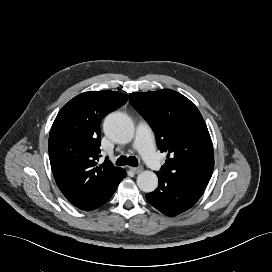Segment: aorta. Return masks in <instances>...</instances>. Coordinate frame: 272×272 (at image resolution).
I'll return each mask as SVG.
<instances>
[{
	"mask_svg": "<svg viewBox=\"0 0 272 272\" xmlns=\"http://www.w3.org/2000/svg\"><path fill=\"white\" fill-rule=\"evenodd\" d=\"M103 129L105 134L117 143L130 142L135 133L132 120L122 112H113L107 115ZM137 185L143 192H153L158 186V177L152 171H143L137 177Z\"/></svg>",
	"mask_w": 272,
	"mask_h": 272,
	"instance_id": "762f6f07",
	"label": "aorta"
}]
</instances>
